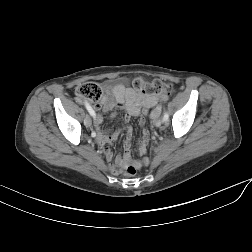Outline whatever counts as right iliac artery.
<instances>
[{
    "mask_svg": "<svg viewBox=\"0 0 252 252\" xmlns=\"http://www.w3.org/2000/svg\"><path fill=\"white\" fill-rule=\"evenodd\" d=\"M85 107L86 109L88 110L89 114L95 118L96 114H95V111L92 109V107L90 106L89 103L85 102ZM91 135H92V138L93 139H96L97 138V135H96V131H92L91 132Z\"/></svg>",
    "mask_w": 252,
    "mask_h": 252,
    "instance_id": "obj_1",
    "label": "right iliac artery"
}]
</instances>
